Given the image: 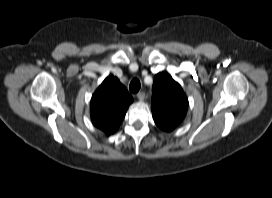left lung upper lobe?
I'll return each instance as SVG.
<instances>
[{
	"label": "left lung upper lobe",
	"mask_w": 272,
	"mask_h": 198,
	"mask_svg": "<svg viewBox=\"0 0 272 198\" xmlns=\"http://www.w3.org/2000/svg\"><path fill=\"white\" fill-rule=\"evenodd\" d=\"M152 91L154 121L162 130L172 131L184 119L188 99L181 86L165 72L155 76Z\"/></svg>",
	"instance_id": "obj_1"
}]
</instances>
